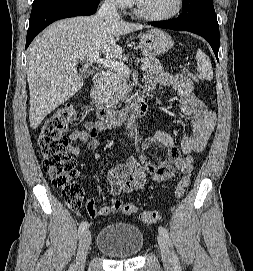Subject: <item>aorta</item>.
<instances>
[{"instance_id": "1", "label": "aorta", "mask_w": 253, "mask_h": 271, "mask_svg": "<svg viewBox=\"0 0 253 271\" xmlns=\"http://www.w3.org/2000/svg\"><path fill=\"white\" fill-rule=\"evenodd\" d=\"M133 127H134V114L133 112L131 113V116L129 118V121L127 123V128L129 130V136L133 137L134 133H133Z\"/></svg>"}]
</instances>
